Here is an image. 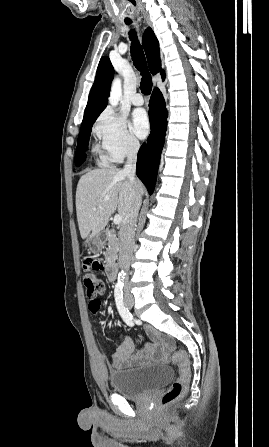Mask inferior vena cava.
Segmentation results:
<instances>
[{
	"instance_id": "602c4592",
	"label": "inferior vena cava",
	"mask_w": 269,
	"mask_h": 447,
	"mask_svg": "<svg viewBox=\"0 0 269 447\" xmlns=\"http://www.w3.org/2000/svg\"><path fill=\"white\" fill-rule=\"evenodd\" d=\"M140 148L138 140H135L134 144L130 146L127 152V162L122 170V174H125L129 178L132 184H135V170L137 162V154ZM142 198L140 194L135 196V202L129 210L127 216H125L122 225L120 227V249H119V265L124 271V295L129 297L130 291L128 289V271L130 267V259L134 247V235L135 227L137 224V218L139 210L141 208Z\"/></svg>"
}]
</instances>
